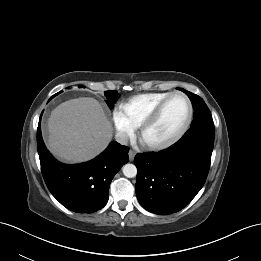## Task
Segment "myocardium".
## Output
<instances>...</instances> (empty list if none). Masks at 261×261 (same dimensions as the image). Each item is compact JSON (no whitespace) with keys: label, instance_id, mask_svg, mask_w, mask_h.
Returning <instances> with one entry per match:
<instances>
[{"label":"myocardium","instance_id":"f54148a6","mask_svg":"<svg viewBox=\"0 0 261 261\" xmlns=\"http://www.w3.org/2000/svg\"><path fill=\"white\" fill-rule=\"evenodd\" d=\"M174 96H181L182 98H184L187 104L188 112L183 126L173 136L165 140H161V141L145 140L144 135L146 131L156 122L166 103ZM192 119H193V105L189 97L181 91L171 92L153 108V110L149 113V115L144 119V121L138 127L139 141L145 148L148 149L160 150V149L167 148L173 145L174 143H176L177 141H179L185 135V133L190 128Z\"/></svg>","mask_w":261,"mask_h":261}]
</instances>
